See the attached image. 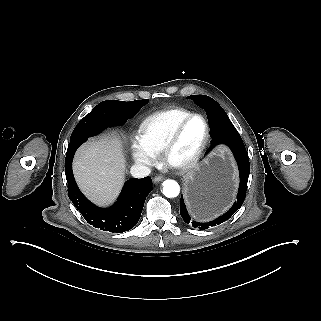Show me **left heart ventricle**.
Wrapping results in <instances>:
<instances>
[{
	"instance_id": "left-heart-ventricle-1",
	"label": "left heart ventricle",
	"mask_w": 321,
	"mask_h": 321,
	"mask_svg": "<svg viewBox=\"0 0 321 321\" xmlns=\"http://www.w3.org/2000/svg\"><path fill=\"white\" fill-rule=\"evenodd\" d=\"M204 123L200 118H194L182 129L176 149L175 157L186 159L194 153L203 139Z\"/></svg>"
}]
</instances>
